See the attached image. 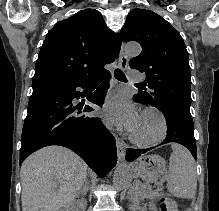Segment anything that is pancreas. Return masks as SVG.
Listing matches in <instances>:
<instances>
[{
    "label": "pancreas",
    "mask_w": 219,
    "mask_h": 211,
    "mask_svg": "<svg viewBox=\"0 0 219 211\" xmlns=\"http://www.w3.org/2000/svg\"><path fill=\"white\" fill-rule=\"evenodd\" d=\"M135 191L134 195H130V200H145L146 197L149 199H153V197H157L159 195L158 191H153L150 185L145 186H133Z\"/></svg>",
    "instance_id": "1"
}]
</instances>
